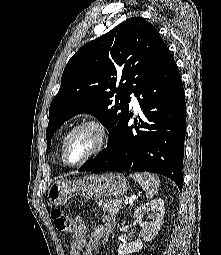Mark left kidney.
<instances>
[{
	"label": "left kidney",
	"instance_id": "left-kidney-1",
	"mask_svg": "<svg viewBox=\"0 0 221 255\" xmlns=\"http://www.w3.org/2000/svg\"><path fill=\"white\" fill-rule=\"evenodd\" d=\"M164 201L156 198L140 206L134 213L133 218L142 226V240H135L131 243H122L118 248V255H128L138 252L143 247V241H151L158 234L164 217ZM147 217L149 221L142 222V218Z\"/></svg>",
	"mask_w": 221,
	"mask_h": 255
}]
</instances>
